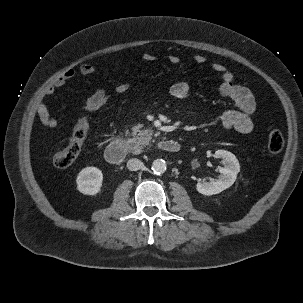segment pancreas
Here are the masks:
<instances>
[{
    "label": "pancreas",
    "instance_id": "1",
    "mask_svg": "<svg viewBox=\"0 0 303 303\" xmlns=\"http://www.w3.org/2000/svg\"><path fill=\"white\" fill-rule=\"evenodd\" d=\"M127 134L133 136L129 143L130 150L139 153L144 146L149 145L152 141L153 130L142 129V125L139 124L132 127V132H127Z\"/></svg>",
    "mask_w": 303,
    "mask_h": 303
}]
</instances>
